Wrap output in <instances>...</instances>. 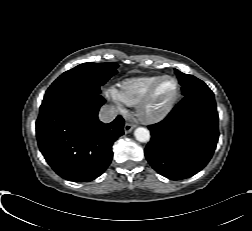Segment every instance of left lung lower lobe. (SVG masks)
Listing matches in <instances>:
<instances>
[{
    "mask_svg": "<svg viewBox=\"0 0 252 231\" xmlns=\"http://www.w3.org/2000/svg\"><path fill=\"white\" fill-rule=\"evenodd\" d=\"M148 128L151 140L144 154L152 168L173 180L193 176L209 162L219 137L213 92L184 96L164 120Z\"/></svg>",
    "mask_w": 252,
    "mask_h": 231,
    "instance_id": "1",
    "label": "left lung lower lobe"
}]
</instances>
